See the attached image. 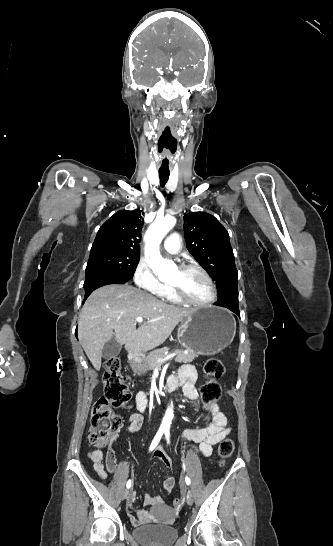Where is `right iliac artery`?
I'll use <instances>...</instances> for the list:
<instances>
[{
    "label": "right iliac artery",
    "instance_id": "1",
    "mask_svg": "<svg viewBox=\"0 0 333 546\" xmlns=\"http://www.w3.org/2000/svg\"><path fill=\"white\" fill-rule=\"evenodd\" d=\"M163 433H164V430H162V429L158 430V432L156 433V435H155V437H154V439H153V441H152V443L150 445V448H149L150 451H152L158 445ZM131 485H132L131 480H128V482L126 484L127 489H129L131 487Z\"/></svg>",
    "mask_w": 333,
    "mask_h": 546
}]
</instances>
